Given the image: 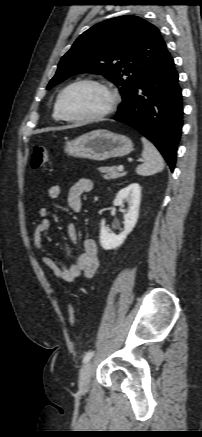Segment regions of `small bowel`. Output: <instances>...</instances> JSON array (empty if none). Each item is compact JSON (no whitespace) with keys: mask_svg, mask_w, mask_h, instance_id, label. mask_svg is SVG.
I'll return each mask as SVG.
<instances>
[{"mask_svg":"<svg viewBox=\"0 0 202 437\" xmlns=\"http://www.w3.org/2000/svg\"><path fill=\"white\" fill-rule=\"evenodd\" d=\"M93 183L88 178H81L73 184L67 195V205L74 213H79L83 208V195L92 190ZM62 193L59 185H52L48 189V197L52 200L58 199ZM40 222L36 226L33 234V242L36 249L43 253L41 263L49 269L53 275L63 282H74L77 278L85 276L92 277L99 267L98 245L93 239L83 241V250L75 256L70 265H63L57 262L52 256L45 253L43 234L52 225L50 210L47 207L39 209ZM67 233L70 241L75 243L77 240V229L74 223H69Z\"/></svg>","mask_w":202,"mask_h":437,"instance_id":"obj_1","label":"small bowel"}]
</instances>
